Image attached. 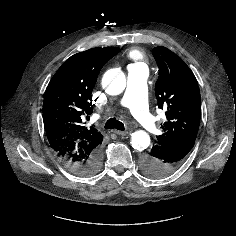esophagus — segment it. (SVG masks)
Listing matches in <instances>:
<instances>
[{
	"label": "esophagus",
	"instance_id": "1",
	"mask_svg": "<svg viewBox=\"0 0 236 236\" xmlns=\"http://www.w3.org/2000/svg\"><path fill=\"white\" fill-rule=\"evenodd\" d=\"M115 133L119 136H126L129 134L128 131H119V130H116Z\"/></svg>",
	"mask_w": 236,
	"mask_h": 236
}]
</instances>
